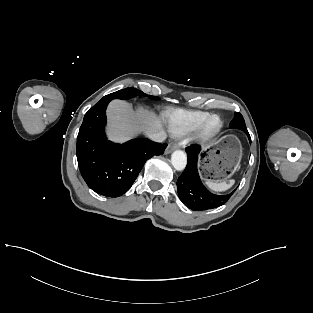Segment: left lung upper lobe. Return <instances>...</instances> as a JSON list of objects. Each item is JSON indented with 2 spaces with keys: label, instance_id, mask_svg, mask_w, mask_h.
Returning <instances> with one entry per match:
<instances>
[{
  "label": "left lung upper lobe",
  "instance_id": "5c2ea615",
  "mask_svg": "<svg viewBox=\"0 0 313 313\" xmlns=\"http://www.w3.org/2000/svg\"><path fill=\"white\" fill-rule=\"evenodd\" d=\"M230 127L233 128V129H240V130H242V131H244V132L247 131L244 118H243V116H242L240 113H238V112H235V117H234V119L231 121Z\"/></svg>",
  "mask_w": 313,
  "mask_h": 313
}]
</instances>
